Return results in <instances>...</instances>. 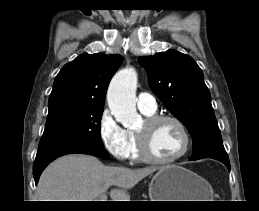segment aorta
I'll use <instances>...</instances> for the list:
<instances>
[{
  "label": "aorta",
  "mask_w": 259,
  "mask_h": 211,
  "mask_svg": "<svg viewBox=\"0 0 259 211\" xmlns=\"http://www.w3.org/2000/svg\"><path fill=\"white\" fill-rule=\"evenodd\" d=\"M137 80V73L134 69H123L115 74L108 88L109 109L115 119L125 128L133 127L139 119L135 100Z\"/></svg>",
  "instance_id": "1"
}]
</instances>
